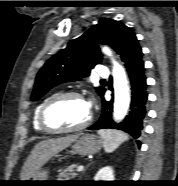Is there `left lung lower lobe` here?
<instances>
[{"instance_id": "obj_1", "label": "left lung lower lobe", "mask_w": 178, "mask_h": 186, "mask_svg": "<svg viewBox=\"0 0 178 186\" xmlns=\"http://www.w3.org/2000/svg\"><path fill=\"white\" fill-rule=\"evenodd\" d=\"M142 55V53L139 54L125 65L132 90L130 110L127 116L120 123H115L112 119L113 101L102 99L103 111L101 117L88 129H118L130 134L134 139L139 138L143 129V120L147 113L146 102L148 99ZM137 143L139 146L141 145L140 141H137Z\"/></svg>"}]
</instances>
